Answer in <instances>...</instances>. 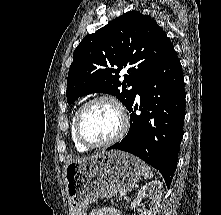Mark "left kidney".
<instances>
[{"label": "left kidney", "mask_w": 221, "mask_h": 215, "mask_svg": "<svg viewBox=\"0 0 221 215\" xmlns=\"http://www.w3.org/2000/svg\"><path fill=\"white\" fill-rule=\"evenodd\" d=\"M163 185L159 180L151 181L140 188L137 197L131 204V209L140 206L142 199L145 197L150 198L149 210L145 215H156L160 207Z\"/></svg>", "instance_id": "5707ae66"}]
</instances>
